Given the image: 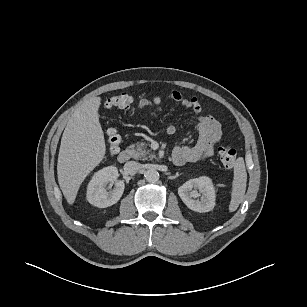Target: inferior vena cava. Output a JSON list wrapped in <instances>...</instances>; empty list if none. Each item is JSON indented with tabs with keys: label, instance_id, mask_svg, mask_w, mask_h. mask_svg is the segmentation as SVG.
Returning a JSON list of instances; mask_svg holds the SVG:
<instances>
[{
	"label": "inferior vena cava",
	"instance_id": "602c4592",
	"mask_svg": "<svg viewBox=\"0 0 307 307\" xmlns=\"http://www.w3.org/2000/svg\"><path fill=\"white\" fill-rule=\"evenodd\" d=\"M140 169L141 164L135 161H129L124 165V171L131 176L135 175Z\"/></svg>",
	"mask_w": 307,
	"mask_h": 307
}]
</instances>
